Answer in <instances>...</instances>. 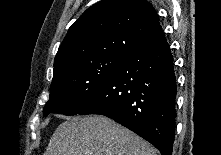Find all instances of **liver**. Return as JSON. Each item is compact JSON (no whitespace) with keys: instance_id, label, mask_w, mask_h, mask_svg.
<instances>
[{"instance_id":"obj_1","label":"liver","mask_w":221,"mask_h":155,"mask_svg":"<svg viewBox=\"0 0 221 155\" xmlns=\"http://www.w3.org/2000/svg\"><path fill=\"white\" fill-rule=\"evenodd\" d=\"M44 155H156V151L127 128L95 115L61 123Z\"/></svg>"}]
</instances>
